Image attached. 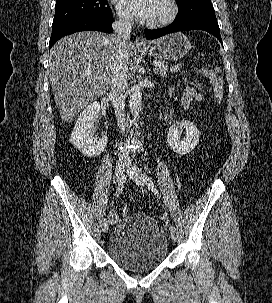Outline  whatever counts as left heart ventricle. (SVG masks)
I'll list each match as a JSON object with an SVG mask.
<instances>
[{"label": "left heart ventricle", "mask_w": 272, "mask_h": 303, "mask_svg": "<svg viewBox=\"0 0 272 303\" xmlns=\"http://www.w3.org/2000/svg\"><path fill=\"white\" fill-rule=\"evenodd\" d=\"M167 11H168V7L167 4L165 3V0H156L155 11L151 21L162 18L163 16L166 15Z\"/></svg>", "instance_id": "left-heart-ventricle-1"}]
</instances>
